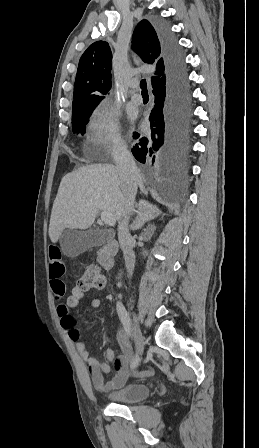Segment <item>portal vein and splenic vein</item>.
<instances>
[{
  "instance_id": "obj_1",
  "label": "portal vein and splenic vein",
  "mask_w": 259,
  "mask_h": 448,
  "mask_svg": "<svg viewBox=\"0 0 259 448\" xmlns=\"http://www.w3.org/2000/svg\"><path fill=\"white\" fill-rule=\"evenodd\" d=\"M101 220L104 224H108V226H115V218H113V214L110 212H101Z\"/></svg>"
}]
</instances>
